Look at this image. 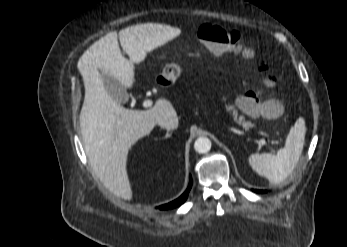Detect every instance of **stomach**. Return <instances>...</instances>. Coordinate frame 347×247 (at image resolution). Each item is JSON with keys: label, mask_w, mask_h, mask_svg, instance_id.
<instances>
[{"label": "stomach", "mask_w": 347, "mask_h": 247, "mask_svg": "<svg viewBox=\"0 0 347 247\" xmlns=\"http://www.w3.org/2000/svg\"><path fill=\"white\" fill-rule=\"evenodd\" d=\"M179 74V67L173 64H169L165 66L160 76L168 82V85H172L175 82L176 78L179 76Z\"/></svg>", "instance_id": "0dacf381"}]
</instances>
